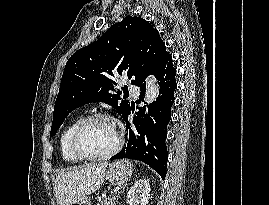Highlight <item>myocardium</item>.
Masks as SVG:
<instances>
[{
	"instance_id": "1",
	"label": "myocardium",
	"mask_w": 269,
	"mask_h": 205,
	"mask_svg": "<svg viewBox=\"0 0 269 205\" xmlns=\"http://www.w3.org/2000/svg\"><path fill=\"white\" fill-rule=\"evenodd\" d=\"M104 120L109 121L113 124L115 132H116V143L114 147L109 150L108 152L100 155H89L86 154L80 147V137L83 131L86 129L88 125L91 123ZM124 142L123 134L121 132L119 123L110 115L106 113H95L85 117L75 128L71 137V148L73 152L79 157L81 160H90V161H98V160H105L108 158L113 157L116 155L122 148Z\"/></svg>"
}]
</instances>
